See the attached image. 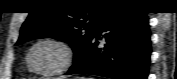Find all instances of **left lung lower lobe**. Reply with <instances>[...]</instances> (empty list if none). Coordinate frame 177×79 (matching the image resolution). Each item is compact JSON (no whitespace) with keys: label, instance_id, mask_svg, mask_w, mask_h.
I'll return each mask as SVG.
<instances>
[{"label":"left lung lower lobe","instance_id":"left-lung-lower-lobe-1","mask_svg":"<svg viewBox=\"0 0 177 79\" xmlns=\"http://www.w3.org/2000/svg\"><path fill=\"white\" fill-rule=\"evenodd\" d=\"M150 54L146 13L128 6H113L103 11L88 45L66 74L147 79Z\"/></svg>","mask_w":177,"mask_h":79}]
</instances>
